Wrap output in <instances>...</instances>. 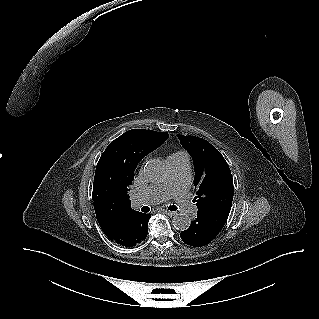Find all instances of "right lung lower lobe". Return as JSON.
Returning <instances> with one entry per match:
<instances>
[{
    "instance_id": "right-lung-lower-lobe-1",
    "label": "right lung lower lobe",
    "mask_w": 319,
    "mask_h": 319,
    "mask_svg": "<svg viewBox=\"0 0 319 319\" xmlns=\"http://www.w3.org/2000/svg\"><path fill=\"white\" fill-rule=\"evenodd\" d=\"M150 217V214L136 212L123 224L119 233L111 240L122 246H135L146 238Z\"/></svg>"
}]
</instances>
